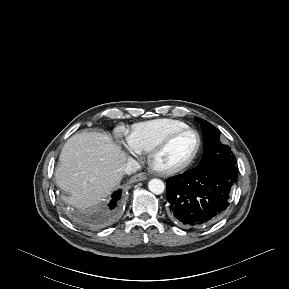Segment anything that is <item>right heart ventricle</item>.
<instances>
[{
  "label": "right heart ventricle",
  "mask_w": 289,
  "mask_h": 289,
  "mask_svg": "<svg viewBox=\"0 0 289 289\" xmlns=\"http://www.w3.org/2000/svg\"><path fill=\"white\" fill-rule=\"evenodd\" d=\"M185 127L189 126L181 120L170 118L155 119L136 124L128 140L139 153H146L167 134Z\"/></svg>",
  "instance_id": "right-heart-ventricle-1"
}]
</instances>
